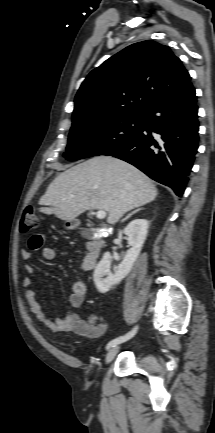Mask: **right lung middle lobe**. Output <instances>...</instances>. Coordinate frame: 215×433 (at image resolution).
<instances>
[{"label":"right lung middle lobe","mask_w":215,"mask_h":433,"mask_svg":"<svg viewBox=\"0 0 215 433\" xmlns=\"http://www.w3.org/2000/svg\"><path fill=\"white\" fill-rule=\"evenodd\" d=\"M143 116H121L102 121L73 124L64 157L75 161L105 153L137 137Z\"/></svg>","instance_id":"1"}]
</instances>
